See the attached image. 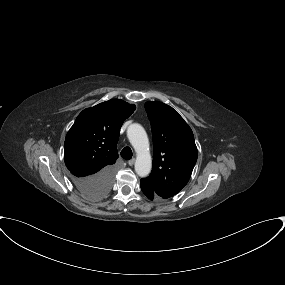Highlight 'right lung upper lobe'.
Segmentation results:
<instances>
[{
	"mask_svg": "<svg viewBox=\"0 0 285 285\" xmlns=\"http://www.w3.org/2000/svg\"><path fill=\"white\" fill-rule=\"evenodd\" d=\"M135 109L134 104L116 99L78 115L64 147L65 164L73 176H91L116 162L121 125Z\"/></svg>",
	"mask_w": 285,
	"mask_h": 285,
	"instance_id": "1",
	"label": "right lung upper lobe"
}]
</instances>
